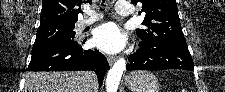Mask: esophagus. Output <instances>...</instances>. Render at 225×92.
<instances>
[{
	"label": "esophagus",
	"mask_w": 225,
	"mask_h": 92,
	"mask_svg": "<svg viewBox=\"0 0 225 92\" xmlns=\"http://www.w3.org/2000/svg\"><path fill=\"white\" fill-rule=\"evenodd\" d=\"M107 60H108L109 65L112 66L116 61V56H108Z\"/></svg>",
	"instance_id": "34e87169"
}]
</instances>
